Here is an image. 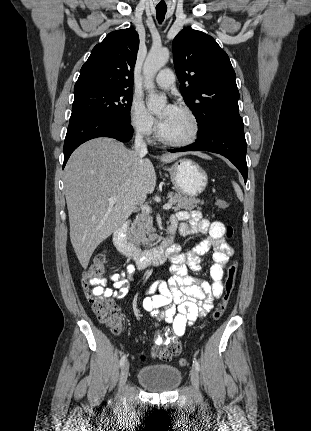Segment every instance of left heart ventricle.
Segmentation results:
<instances>
[{
  "mask_svg": "<svg viewBox=\"0 0 311 431\" xmlns=\"http://www.w3.org/2000/svg\"><path fill=\"white\" fill-rule=\"evenodd\" d=\"M163 111L160 112V115ZM160 125L163 136L169 140H187L192 137L195 131L193 119L180 109H177Z\"/></svg>",
  "mask_w": 311,
  "mask_h": 431,
  "instance_id": "left-heart-ventricle-1",
  "label": "left heart ventricle"
}]
</instances>
